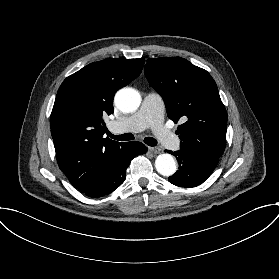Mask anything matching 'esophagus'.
<instances>
[{
  "label": "esophagus",
  "instance_id": "34e87169",
  "mask_svg": "<svg viewBox=\"0 0 279 279\" xmlns=\"http://www.w3.org/2000/svg\"><path fill=\"white\" fill-rule=\"evenodd\" d=\"M150 152L154 153V154H158L161 152V149L158 147H149L148 148Z\"/></svg>",
  "mask_w": 279,
  "mask_h": 279
}]
</instances>
